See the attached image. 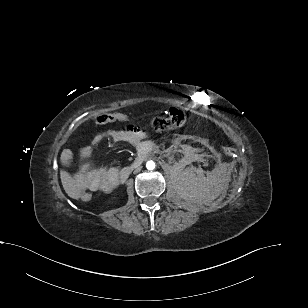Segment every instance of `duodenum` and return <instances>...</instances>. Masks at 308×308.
<instances>
[{
	"instance_id": "duodenum-1",
	"label": "duodenum",
	"mask_w": 308,
	"mask_h": 308,
	"mask_svg": "<svg viewBox=\"0 0 308 308\" xmlns=\"http://www.w3.org/2000/svg\"><path fill=\"white\" fill-rule=\"evenodd\" d=\"M152 148H153L152 144L148 142L142 145H139L137 149L139 153L137 158L134 160V162L131 165L122 169V171L118 175L117 181H120L122 183L126 181V179L130 176L132 171L136 168H139L142 165L145 158L148 156L149 152L152 151Z\"/></svg>"
}]
</instances>
